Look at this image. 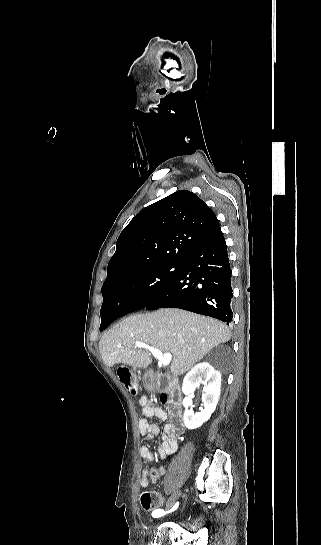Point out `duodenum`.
<instances>
[{"instance_id":"410a0bca","label":"duodenum","mask_w":321,"mask_h":545,"mask_svg":"<svg viewBox=\"0 0 321 545\" xmlns=\"http://www.w3.org/2000/svg\"><path fill=\"white\" fill-rule=\"evenodd\" d=\"M146 381L149 388L160 393L163 403L179 406L182 401L181 391L177 383L170 378L150 371L146 374Z\"/></svg>"}]
</instances>
